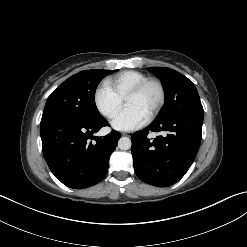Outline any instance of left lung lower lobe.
I'll use <instances>...</instances> for the list:
<instances>
[{"label": "left lung lower lobe", "mask_w": 247, "mask_h": 247, "mask_svg": "<svg viewBox=\"0 0 247 247\" xmlns=\"http://www.w3.org/2000/svg\"><path fill=\"white\" fill-rule=\"evenodd\" d=\"M203 115L176 114L162 122H152L135 132L131 152L134 170L140 180L150 185L167 187L178 182L192 165L202 134ZM150 131L166 132L153 141Z\"/></svg>", "instance_id": "1"}]
</instances>
